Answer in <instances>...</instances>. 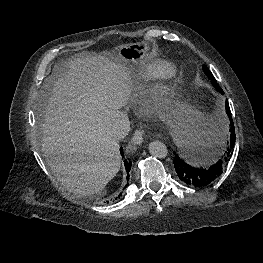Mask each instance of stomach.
Returning a JSON list of instances; mask_svg holds the SVG:
<instances>
[{
  "instance_id": "0dacf381",
  "label": "stomach",
  "mask_w": 263,
  "mask_h": 263,
  "mask_svg": "<svg viewBox=\"0 0 263 263\" xmlns=\"http://www.w3.org/2000/svg\"><path fill=\"white\" fill-rule=\"evenodd\" d=\"M148 50L149 47L144 42L129 43L120 46L118 48L117 54L128 63L141 64L144 62ZM173 126L176 128L177 126L176 120L173 121Z\"/></svg>"
}]
</instances>
